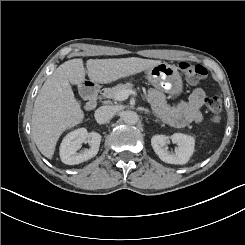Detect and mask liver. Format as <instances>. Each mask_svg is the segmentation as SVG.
Wrapping results in <instances>:
<instances>
[{
  "label": "liver",
  "mask_w": 245,
  "mask_h": 245,
  "mask_svg": "<svg viewBox=\"0 0 245 245\" xmlns=\"http://www.w3.org/2000/svg\"><path fill=\"white\" fill-rule=\"evenodd\" d=\"M160 60L142 58L89 59L86 62L92 82L110 83L160 64ZM85 80L82 59L61 64L44 82L34 103L31 130L39 151L51 159L61 134L83 121L84 113L74 98L71 84Z\"/></svg>",
  "instance_id": "1"
}]
</instances>
